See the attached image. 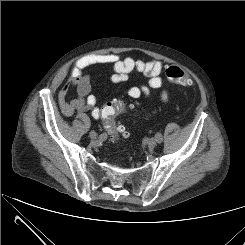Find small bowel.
I'll return each instance as SVG.
<instances>
[{
  "label": "small bowel",
  "instance_id": "small-bowel-1",
  "mask_svg": "<svg viewBox=\"0 0 245 245\" xmlns=\"http://www.w3.org/2000/svg\"><path fill=\"white\" fill-rule=\"evenodd\" d=\"M95 65H111L113 69L111 81L113 83L127 81L130 74L134 71L149 77L147 85L133 86L128 90V96L132 99H139L140 97L149 98L152 89H159L164 83L161 77L164 65L161 61H143L129 57L122 59L117 54L89 55L76 61L71 69L68 80L59 90L58 103L64 115L70 116L75 111H91L95 119L101 118L102 112L96 106L97 99L90 93L91 78L84 73L86 68ZM70 88L75 89L77 93V97L73 100L67 99V93ZM160 98L164 102L167 101L169 98L168 92L162 90Z\"/></svg>",
  "mask_w": 245,
  "mask_h": 245
}]
</instances>
